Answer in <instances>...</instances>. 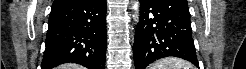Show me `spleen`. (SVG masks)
<instances>
[{
    "label": "spleen",
    "mask_w": 246,
    "mask_h": 69,
    "mask_svg": "<svg viewBox=\"0 0 246 69\" xmlns=\"http://www.w3.org/2000/svg\"><path fill=\"white\" fill-rule=\"evenodd\" d=\"M152 69H194V68L193 65H191L189 62L183 59L168 57L155 63L152 66Z\"/></svg>",
    "instance_id": "spleen-1"
}]
</instances>
